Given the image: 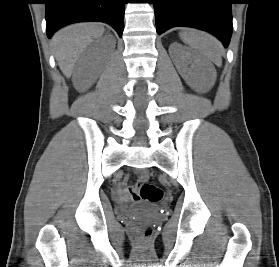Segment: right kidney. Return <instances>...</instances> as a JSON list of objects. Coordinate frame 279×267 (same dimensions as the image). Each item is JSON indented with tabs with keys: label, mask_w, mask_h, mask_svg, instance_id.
<instances>
[{
	"label": "right kidney",
	"mask_w": 279,
	"mask_h": 267,
	"mask_svg": "<svg viewBox=\"0 0 279 267\" xmlns=\"http://www.w3.org/2000/svg\"><path fill=\"white\" fill-rule=\"evenodd\" d=\"M111 41H112V43H114V40H111ZM90 52H91L90 55L84 56L83 59L81 60L80 64H79V71L83 72V77L84 78L86 77V75L89 72L90 63L92 61V58L95 55L96 50L92 49V50H90ZM85 83H86L85 80H83V82L81 83L80 90L85 89Z\"/></svg>",
	"instance_id": "1"
}]
</instances>
